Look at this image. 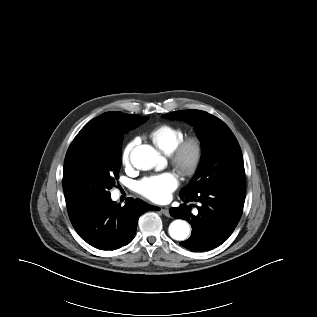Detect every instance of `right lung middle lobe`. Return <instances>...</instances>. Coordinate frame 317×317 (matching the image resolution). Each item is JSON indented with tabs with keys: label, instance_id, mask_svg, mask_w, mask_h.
Listing matches in <instances>:
<instances>
[{
	"label": "right lung middle lobe",
	"instance_id": "obj_1",
	"mask_svg": "<svg viewBox=\"0 0 317 317\" xmlns=\"http://www.w3.org/2000/svg\"><path fill=\"white\" fill-rule=\"evenodd\" d=\"M110 114L105 132L80 131L66 153L63 190L76 203L110 197L109 189L119 178L123 135L148 119L115 111Z\"/></svg>",
	"mask_w": 317,
	"mask_h": 317
}]
</instances>
